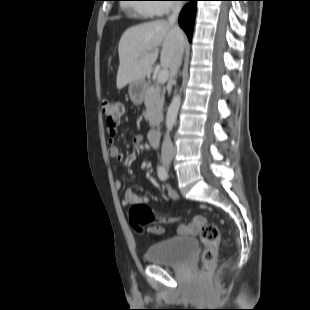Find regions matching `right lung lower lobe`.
Returning <instances> with one entry per match:
<instances>
[{
	"mask_svg": "<svg viewBox=\"0 0 310 310\" xmlns=\"http://www.w3.org/2000/svg\"><path fill=\"white\" fill-rule=\"evenodd\" d=\"M189 3L184 6L179 15V25L185 31L188 36L189 41L192 40L194 20L196 15V2L198 0H188Z\"/></svg>",
	"mask_w": 310,
	"mask_h": 310,
	"instance_id": "1",
	"label": "right lung lower lobe"
}]
</instances>
